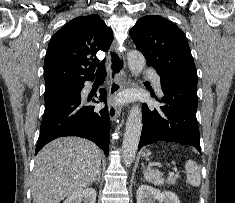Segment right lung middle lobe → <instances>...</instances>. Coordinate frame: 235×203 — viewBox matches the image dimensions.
Wrapping results in <instances>:
<instances>
[{
	"label": "right lung middle lobe",
	"instance_id": "right-lung-middle-lobe-1",
	"mask_svg": "<svg viewBox=\"0 0 235 203\" xmlns=\"http://www.w3.org/2000/svg\"><path fill=\"white\" fill-rule=\"evenodd\" d=\"M76 84L77 83H60V84L45 86V100L67 91Z\"/></svg>",
	"mask_w": 235,
	"mask_h": 203
}]
</instances>
